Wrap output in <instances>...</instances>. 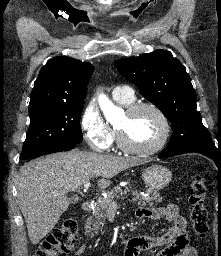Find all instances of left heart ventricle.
<instances>
[{
	"mask_svg": "<svg viewBox=\"0 0 221 256\" xmlns=\"http://www.w3.org/2000/svg\"><path fill=\"white\" fill-rule=\"evenodd\" d=\"M117 127L128 144L141 148L153 145L162 132L159 118L149 109L140 110L132 116L125 114Z\"/></svg>",
	"mask_w": 221,
	"mask_h": 256,
	"instance_id": "left-heart-ventricle-1",
	"label": "left heart ventricle"
}]
</instances>
